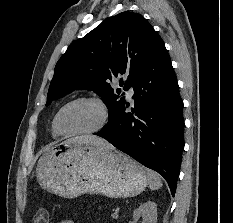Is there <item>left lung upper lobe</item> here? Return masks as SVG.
I'll return each mask as SVG.
<instances>
[{
	"instance_id": "5c2ea615",
	"label": "left lung upper lobe",
	"mask_w": 233,
	"mask_h": 223,
	"mask_svg": "<svg viewBox=\"0 0 233 223\" xmlns=\"http://www.w3.org/2000/svg\"><path fill=\"white\" fill-rule=\"evenodd\" d=\"M158 39L141 14L115 15L68 47L56 64L46 106L75 89L93 90L104 99L110 122L125 104V99L114 93L110 81L127 73L123 89L133 86Z\"/></svg>"
}]
</instances>
